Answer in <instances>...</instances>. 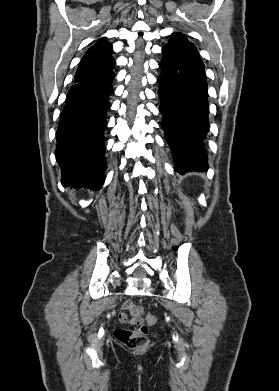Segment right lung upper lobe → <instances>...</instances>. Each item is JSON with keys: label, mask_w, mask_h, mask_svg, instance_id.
I'll return each mask as SVG.
<instances>
[{"label": "right lung upper lobe", "mask_w": 279, "mask_h": 391, "mask_svg": "<svg viewBox=\"0 0 279 391\" xmlns=\"http://www.w3.org/2000/svg\"><path fill=\"white\" fill-rule=\"evenodd\" d=\"M112 51V45L105 38L90 47L80 62L75 74V83L89 81L112 72L115 65Z\"/></svg>", "instance_id": "1"}]
</instances>
